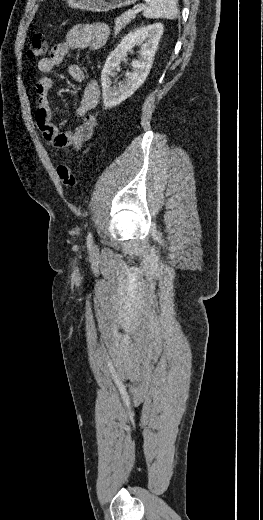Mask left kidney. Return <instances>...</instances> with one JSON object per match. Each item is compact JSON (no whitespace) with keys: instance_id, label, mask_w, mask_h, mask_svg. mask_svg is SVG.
Returning <instances> with one entry per match:
<instances>
[{"instance_id":"obj_1","label":"left kidney","mask_w":263,"mask_h":520,"mask_svg":"<svg viewBox=\"0 0 263 520\" xmlns=\"http://www.w3.org/2000/svg\"><path fill=\"white\" fill-rule=\"evenodd\" d=\"M162 34L163 25L161 23L135 29L129 32L115 50L110 53L101 73L105 108L119 105L144 83L153 64L154 55ZM135 45H141V49L140 58L133 60L131 63L134 69L133 72L127 73L126 81L119 83L117 88L111 87V77L115 74L127 52Z\"/></svg>"}]
</instances>
